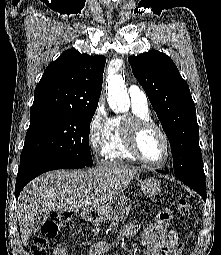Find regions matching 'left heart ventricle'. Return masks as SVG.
Instances as JSON below:
<instances>
[{"label": "left heart ventricle", "mask_w": 221, "mask_h": 255, "mask_svg": "<svg viewBox=\"0 0 221 255\" xmlns=\"http://www.w3.org/2000/svg\"><path fill=\"white\" fill-rule=\"evenodd\" d=\"M140 149L143 155L152 161H160L166 154L164 141L154 129L147 130L141 136Z\"/></svg>", "instance_id": "b2bd125f"}]
</instances>
